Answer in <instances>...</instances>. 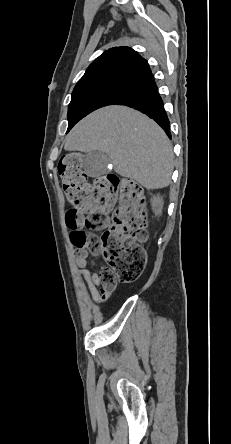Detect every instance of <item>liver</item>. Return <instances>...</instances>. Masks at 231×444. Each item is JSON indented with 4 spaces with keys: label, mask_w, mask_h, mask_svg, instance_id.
Listing matches in <instances>:
<instances>
[{
    "label": "liver",
    "mask_w": 231,
    "mask_h": 444,
    "mask_svg": "<svg viewBox=\"0 0 231 444\" xmlns=\"http://www.w3.org/2000/svg\"><path fill=\"white\" fill-rule=\"evenodd\" d=\"M64 149L107 154L117 174L146 189L171 182L173 149L165 132L146 115L126 106L98 109L74 126Z\"/></svg>",
    "instance_id": "obj_1"
}]
</instances>
